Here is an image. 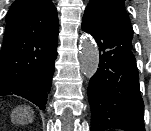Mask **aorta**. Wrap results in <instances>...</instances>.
I'll use <instances>...</instances> for the list:
<instances>
[{
    "mask_svg": "<svg viewBox=\"0 0 151 131\" xmlns=\"http://www.w3.org/2000/svg\"><path fill=\"white\" fill-rule=\"evenodd\" d=\"M81 72L87 78H91L97 72L99 66V51L94 41L84 36L80 43Z\"/></svg>",
    "mask_w": 151,
    "mask_h": 131,
    "instance_id": "obj_1",
    "label": "aorta"
}]
</instances>
